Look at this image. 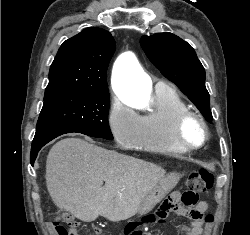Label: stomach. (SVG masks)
<instances>
[{
	"label": "stomach",
	"instance_id": "1",
	"mask_svg": "<svg viewBox=\"0 0 250 235\" xmlns=\"http://www.w3.org/2000/svg\"><path fill=\"white\" fill-rule=\"evenodd\" d=\"M180 176L177 173H170L163 177L157 185L142 200L138 214L144 215L150 212L171 190L177 185Z\"/></svg>",
	"mask_w": 250,
	"mask_h": 235
}]
</instances>
